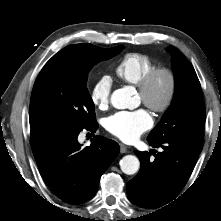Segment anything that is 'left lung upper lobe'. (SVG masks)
I'll use <instances>...</instances> for the list:
<instances>
[{"mask_svg": "<svg viewBox=\"0 0 221 221\" xmlns=\"http://www.w3.org/2000/svg\"><path fill=\"white\" fill-rule=\"evenodd\" d=\"M169 49L175 76L174 99L147 140L161 143L169 139H184L202 144L205 107L200 82L186 57L173 46Z\"/></svg>", "mask_w": 221, "mask_h": 221, "instance_id": "1", "label": "left lung upper lobe"}]
</instances>
